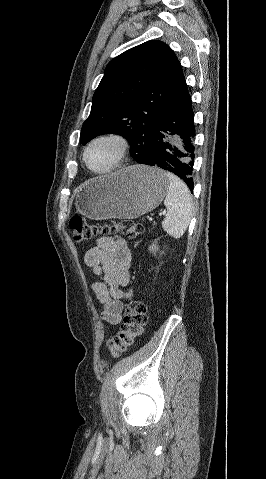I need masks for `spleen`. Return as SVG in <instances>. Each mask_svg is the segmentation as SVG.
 <instances>
[{"label": "spleen", "mask_w": 266, "mask_h": 479, "mask_svg": "<svg viewBox=\"0 0 266 479\" xmlns=\"http://www.w3.org/2000/svg\"><path fill=\"white\" fill-rule=\"evenodd\" d=\"M166 175L169 180L164 200L167 215L162 222V228L169 236L179 239L192 218V199L187 185L181 179L169 172Z\"/></svg>", "instance_id": "obj_1"}]
</instances>
